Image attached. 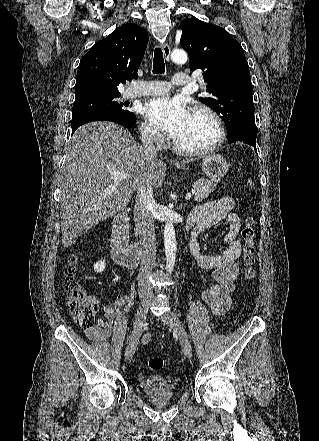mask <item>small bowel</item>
Here are the masks:
<instances>
[{"label":"small bowel","mask_w":319,"mask_h":441,"mask_svg":"<svg viewBox=\"0 0 319 441\" xmlns=\"http://www.w3.org/2000/svg\"><path fill=\"white\" fill-rule=\"evenodd\" d=\"M235 200L231 196H224L200 206H197L188 216L186 227L191 229L190 253L197 264L205 270L212 271L214 283L202 293V299L211 308L215 315H223L232 304L231 294L235 288V281L239 276L237 259L241 254V243L238 233L241 221L233 211ZM226 222L228 232L224 236L225 247L220 254L207 255L201 252L198 241L199 235L206 229ZM98 306L100 301L93 299ZM132 298L122 295L102 306L103 317L99 318L92 328H85L84 332L92 341H105L113 331L116 322V310L120 307L129 308ZM149 335L143 337V342L149 341Z\"/></svg>","instance_id":"obj_1"}]
</instances>
